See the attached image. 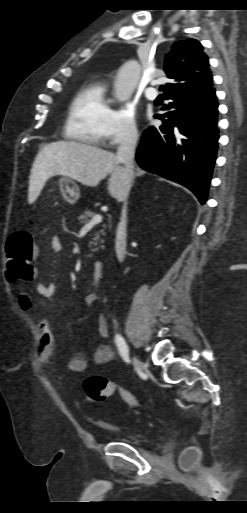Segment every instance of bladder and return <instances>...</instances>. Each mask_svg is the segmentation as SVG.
<instances>
[{
    "label": "bladder",
    "instance_id": "obj_1",
    "mask_svg": "<svg viewBox=\"0 0 247 513\" xmlns=\"http://www.w3.org/2000/svg\"><path fill=\"white\" fill-rule=\"evenodd\" d=\"M102 427H105V428H108V429H111V430H117V428L113 427L112 425L110 424H106V423H99Z\"/></svg>",
    "mask_w": 247,
    "mask_h": 513
}]
</instances>
